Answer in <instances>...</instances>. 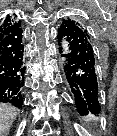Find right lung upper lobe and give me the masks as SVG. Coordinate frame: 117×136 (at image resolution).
<instances>
[{
  "label": "right lung upper lobe",
  "instance_id": "cb5924a9",
  "mask_svg": "<svg viewBox=\"0 0 117 136\" xmlns=\"http://www.w3.org/2000/svg\"><path fill=\"white\" fill-rule=\"evenodd\" d=\"M17 21L9 15L1 22L0 21V39L9 29L14 27Z\"/></svg>",
  "mask_w": 117,
  "mask_h": 136
}]
</instances>
